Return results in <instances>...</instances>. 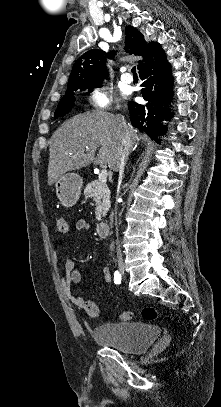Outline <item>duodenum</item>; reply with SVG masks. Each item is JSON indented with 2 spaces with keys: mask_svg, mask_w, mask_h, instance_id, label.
<instances>
[{
  "mask_svg": "<svg viewBox=\"0 0 221 407\" xmlns=\"http://www.w3.org/2000/svg\"><path fill=\"white\" fill-rule=\"evenodd\" d=\"M110 230V224L107 222H101L97 225V233L99 236H107Z\"/></svg>",
  "mask_w": 221,
  "mask_h": 407,
  "instance_id": "1",
  "label": "duodenum"
}]
</instances>
